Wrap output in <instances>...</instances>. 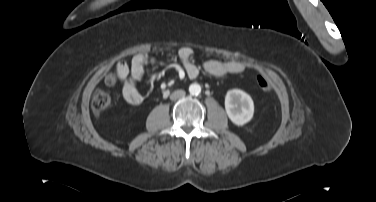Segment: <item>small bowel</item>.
Segmentation results:
<instances>
[{"instance_id":"1","label":"small bowel","mask_w":376,"mask_h":202,"mask_svg":"<svg viewBox=\"0 0 376 202\" xmlns=\"http://www.w3.org/2000/svg\"><path fill=\"white\" fill-rule=\"evenodd\" d=\"M193 49L188 46L181 47L178 57L187 76L195 79L199 76V68L192 61ZM154 64V59L148 54L135 55L130 64L121 61L116 65L117 76L122 82V97L129 105H139L143 102V95L137 88V82L143 78L146 66ZM204 70L214 77H223L226 74H240L246 67L242 62L228 60H208L203 64Z\"/></svg>"}]
</instances>
